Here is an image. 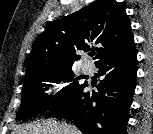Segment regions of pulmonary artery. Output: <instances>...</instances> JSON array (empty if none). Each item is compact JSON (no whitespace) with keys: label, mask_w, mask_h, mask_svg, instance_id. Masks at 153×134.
<instances>
[{"label":"pulmonary artery","mask_w":153,"mask_h":134,"mask_svg":"<svg viewBox=\"0 0 153 134\" xmlns=\"http://www.w3.org/2000/svg\"><path fill=\"white\" fill-rule=\"evenodd\" d=\"M93 64L88 62V61H85L83 64H82V70L85 72V73H91L93 71Z\"/></svg>","instance_id":"obj_1"}]
</instances>
